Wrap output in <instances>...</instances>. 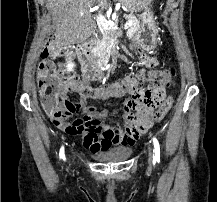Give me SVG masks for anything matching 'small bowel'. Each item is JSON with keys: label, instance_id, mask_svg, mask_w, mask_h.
Listing matches in <instances>:
<instances>
[{"label": "small bowel", "instance_id": "c3829d8e", "mask_svg": "<svg viewBox=\"0 0 217 202\" xmlns=\"http://www.w3.org/2000/svg\"><path fill=\"white\" fill-rule=\"evenodd\" d=\"M142 62L147 67H153L156 65V60L152 57H142ZM66 87H70L72 90L77 91L81 96V102L84 103L87 99L93 100H108L110 98H122L128 92L122 85V82H114L106 86L80 84L72 77H67L61 82V91H64ZM133 105H136L132 99H125L123 103V118L127 122V126L123 131L116 132L115 129L109 126H102L99 131H81V136H84V141H111V142H83V147H131L138 140L141 133L133 130V124H145L148 121H131V116H152L147 114V110H137L133 112ZM85 112L92 117H103L104 112L96 111L91 107H86Z\"/></svg>", "mask_w": 217, "mask_h": 202}]
</instances>
